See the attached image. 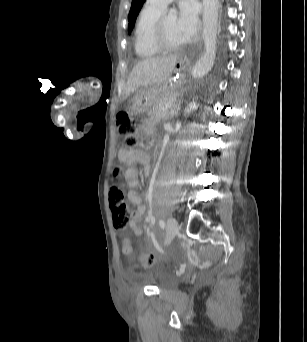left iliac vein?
I'll use <instances>...</instances> for the list:
<instances>
[{"instance_id":"obj_1","label":"left iliac vein","mask_w":307,"mask_h":342,"mask_svg":"<svg viewBox=\"0 0 307 342\" xmlns=\"http://www.w3.org/2000/svg\"><path fill=\"white\" fill-rule=\"evenodd\" d=\"M167 236L165 244L168 245L172 242L179 231L177 220L174 217H170L166 225Z\"/></svg>"}]
</instances>
